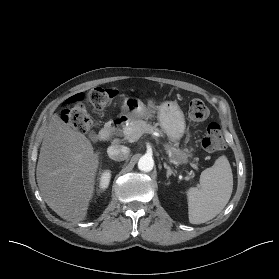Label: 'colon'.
Wrapping results in <instances>:
<instances>
[{
	"label": "colon",
	"mask_w": 279,
	"mask_h": 279,
	"mask_svg": "<svg viewBox=\"0 0 279 279\" xmlns=\"http://www.w3.org/2000/svg\"><path fill=\"white\" fill-rule=\"evenodd\" d=\"M118 95L119 91L113 87H95L87 92L78 93L68 100L66 107L61 111V119L81 133H86L92 126V120L85 103H89L95 110H103ZM208 114V107L202 100L193 99L189 102L190 121L201 122L207 118ZM202 146L209 152L221 150L226 146L223 130L219 123L211 122L208 125Z\"/></svg>",
	"instance_id": "obj_1"
}]
</instances>
